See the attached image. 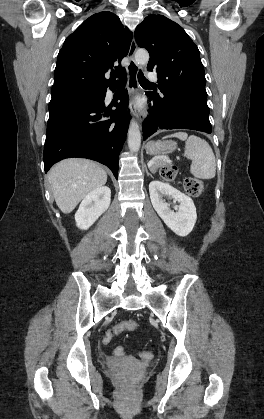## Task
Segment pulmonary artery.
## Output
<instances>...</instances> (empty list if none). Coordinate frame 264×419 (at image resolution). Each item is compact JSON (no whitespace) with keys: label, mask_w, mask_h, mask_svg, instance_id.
Segmentation results:
<instances>
[{"label":"pulmonary artery","mask_w":264,"mask_h":419,"mask_svg":"<svg viewBox=\"0 0 264 419\" xmlns=\"http://www.w3.org/2000/svg\"><path fill=\"white\" fill-rule=\"evenodd\" d=\"M148 79L151 82H156L157 81V75L155 73H153V72H150V73H148Z\"/></svg>","instance_id":"obj_1"}]
</instances>
